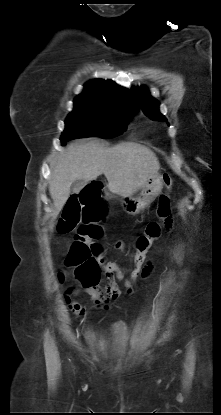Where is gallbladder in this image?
I'll list each match as a JSON object with an SVG mask.
<instances>
[{"label":"gallbladder","mask_w":221,"mask_h":415,"mask_svg":"<svg viewBox=\"0 0 221 415\" xmlns=\"http://www.w3.org/2000/svg\"><path fill=\"white\" fill-rule=\"evenodd\" d=\"M86 185H87V181H85V180H76L72 183L71 190H72V192L77 193L80 190H82Z\"/></svg>","instance_id":"bac80fb5"}]
</instances>
